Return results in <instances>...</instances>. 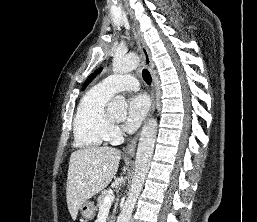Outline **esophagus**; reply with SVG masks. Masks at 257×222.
<instances>
[{
	"mask_svg": "<svg viewBox=\"0 0 257 222\" xmlns=\"http://www.w3.org/2000/svg\"><path fill=\"white\" fill-rule=\"evenodd\" d=\"M133 31H134V35H135V39L136 42L139 46L140 52L143 56V62L145 67L151 72L152 74V78H153V82H152V92H151V108L148 114V119L153 115L154 111H155V107H156V87H155V74H154V70H153V62L151 59V54L150 51L142 37L141 32L139 31L137 26H133ZM140 136V132H138L128 143L126 150H125V155L128 157H132L135 154V150H136V146H137V142Z\"/></svg>",
	"mask_w": 257,
	"mask_h": 222,
	"instance_id": "34e87169",
	"label": "esophagus"
}]
</instances>
